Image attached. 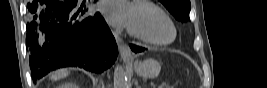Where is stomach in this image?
Masks as SVG:
<instances>
[{"label": "stomach", "instance_id": "0dacf381", "mask_svg": "<svg viewBox=\"0 0 267 88\" xmlns=\"http://www.w3.org/2000/svg\"><path fill=\"white\" fill-rule=\"evenodd\" d=\"M134 68L141 77L155 78L160 73L161 65L155 59H146L141 63H136Z\"/></svg>", "mask_w": 267, "mask_h": 88}]
</instances>
